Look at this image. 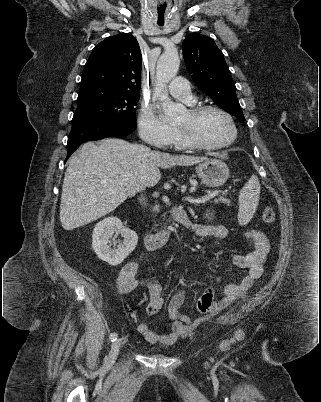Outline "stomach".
<instances>
[{"label":"stomach","instance_id":"1","mask_svg":"<svg viewBox=\"0 0 321 402\" xmlns=\"http://www.w3.org/2000/svg\"><path fill=\"white\" fill-rule=\"evenodd\" d=\"M195 169L199 178L208 187L221 186L229 177L228 166L219 159H207Z\"/></svg>","mask_w":321,"mask_h":402}]
</instances>
